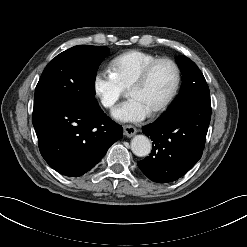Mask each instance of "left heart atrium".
Here are the masks:
<instances>
[{"label":"left heart atrium","mask_w":247,"mask_h":247,"mask_svg":"<svg viewBox=\"0 0 247 247\" xmlns=\"http://www.w3.org/2000/svg\"><path fill=\"white\" fill-rule=\"evenodd\" d=\"M150 109L139 100L131 98L112 111V116L121 122H140L149 114Z\"/></svg>","instance_id":"obj_1"}]
</instances>
